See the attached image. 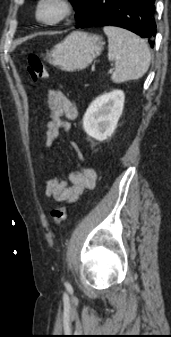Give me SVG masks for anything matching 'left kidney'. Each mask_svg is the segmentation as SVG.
<instances>
[{"label": "left kidney", "mask_w": 171, "mask_h": 337, "mask_svg": "<svg viewBox=\"0 0 171 337\" xmlns=\"http://www.w3.org/2000/svg\"><path fill=\"white\" fill-rule=\"evenodd\" d=\"M124 99L125 95L121 90L97 97L84 114L85 132L98 141L111 137L122 114Z\"/></svg>", "instance_id": "obj_1"}]
</instances>
